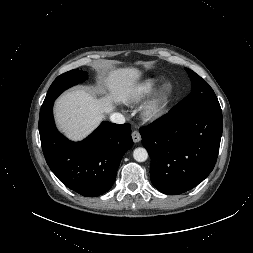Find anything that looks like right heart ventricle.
<instances>
[{
	"mask_svg": "<svg viewBox=\"0 0 253 253\" xmlns=\"http://www.w3.org/2000/svg\"><path fill=\"white\" fill-rule=\"evenodd\" d=\"M157 84L158 81L155 78L143 79L128 89L125 100L129 103H139L155 90Z\"/></svg>",
	"mask_w": 253,
	"mask_h": 253,
	"instance_id": "obj_1",
	"label": "right heart ventricle"
}]
</instances>
